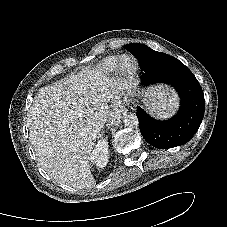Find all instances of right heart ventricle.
<instances>
[{"label": "right heart ventricle", "instance_id": "obj_1", "mask_svg": "<svg viewBox=\"0 0 227 227\" xmlns=\"http://www.w3.org/2000/svg\"><path fill=\"white\" fill-rule=\"evenodd\" d=\"M119 60L120 58L118 56H110L105 58L100 64V69L105 72H112L118 66Z\"/></svg>", "mask_w": 227, "mask_h": 227}]
</instances>
